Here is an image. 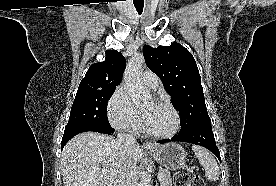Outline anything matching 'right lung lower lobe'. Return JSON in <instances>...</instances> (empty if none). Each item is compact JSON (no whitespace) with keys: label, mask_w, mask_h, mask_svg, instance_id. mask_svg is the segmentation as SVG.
I'll use <instances>...</instances> for the list:
<instances>
[{"label":"right lung lower lobe","mask_w":276,"mask_h":186,"mask_svg":"<svg viewBox=\"0 0 276 186\" xmlns=\"http://www.w3.org/2000/svg\"><path fill=\"white\" fill-rule=\"evenodd\" d=\"M87 131H95L99 133H104V134H111L114 132V129L109 125V126H103V125H93V124H81V125H76L71 128H67L64 131V135L62 138V145L61 149L65 146V144L75 135L82 133V132H87Z\"/></svg>","instance_id":"98d812e1"}]
</instances>
